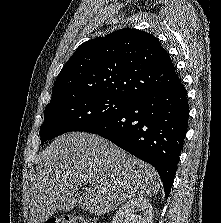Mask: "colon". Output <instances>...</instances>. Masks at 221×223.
<instances>
[{"mask_svg":"<svg viewBox=\"0 0 221 223\" xmlns=\"http://www.w3.org/2000/svg\"><path fill=\"white\" fill-rule=\"evenodd\" d=\"M45 223H100L97 219L84 216H62L49 218Z\"/></svg>","mask_w":221,"mask_h":223,"instance_id":"1","label":"colon"}]
</instances>
